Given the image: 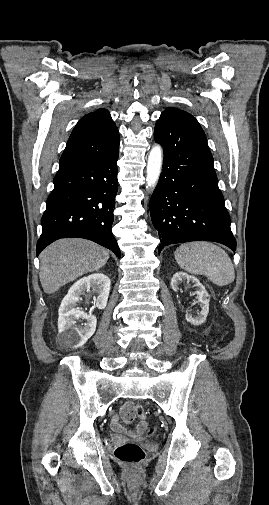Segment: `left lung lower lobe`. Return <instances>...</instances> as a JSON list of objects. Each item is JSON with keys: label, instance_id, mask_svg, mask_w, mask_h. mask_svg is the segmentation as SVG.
Returning <instances> with one entry per match:
<instances>
[{"label": "left lung lower lobe", "instance_id": "0a47b994", "mask_svg": "<svg viewBox=\"0 0 269 505\" xmlns=\"http://www.w3.org/2000/svg\"><path fill=\"white\" fill-rule=\"evenodd\" d=\"M154 139L164 150L163 170L150 200L159 251L196 240L219 242L235 251L230 217L200 124L189 113L161 114Z\"/></svg>", "mask_w": 269, "mask_h": 505}]
</instances>
